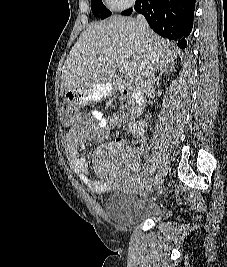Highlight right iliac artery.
I'll list each match as a JSON object with an SVG mask.
<instances>
[{"mask_svg":"<svg viewBox=\"0 0 227 267\" xmlns=\"http://www.w3.org/2000/svg\"><path fill=\"white\" fill-rule=\"evenodd\" d=\"M155 171V168L152 166L150 169V175H152ZM158 178V175H156V179Z\"/></svg>","mask_w":227,"mask_h":267,"instance_id":"82829eb1","label":"right iliac artery"}]
</instances>
